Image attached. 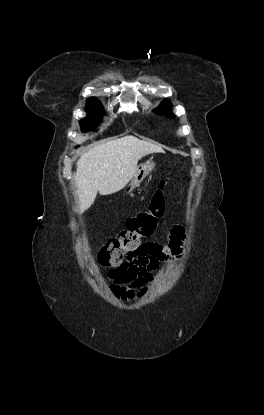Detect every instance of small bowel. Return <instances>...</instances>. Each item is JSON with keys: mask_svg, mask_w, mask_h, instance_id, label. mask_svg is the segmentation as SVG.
<instances>
[{"mask_svg": "<svg viewBox=\"0 0 264 415\" xmlns=\"http://www.w3.org/2000/svg\"><path fill=\"white\" fill-rule=\"evenodd\" d=\"M182 236L180 230L175 228L171 233L172 244L147 243L123 269H110L108 272L110 290L119 292L126 300L142 297L147 291L152 273L159 264L184 255L183 249L177 243Z\"/></svg>", "mask_w": 264, "mask_h": 415, "instance_id": "c3829d8e", "label": "small bowel"}]
</instances>
